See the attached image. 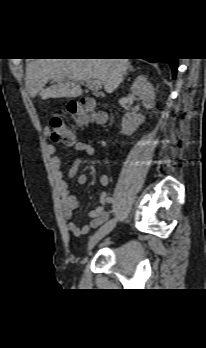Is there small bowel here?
I'll use <instances>...</instances> for the list:
<instances>
[{"label": "small bowel", "instance_id": "1", "mask_svg": "<svg viewBox=\"0 0 206 348\" xmlns=\"http://www.w3.org/2000/svg\"><path fill=\"white\" fill-rule=\"evenodd\" d=\"M72 149L76 152H85L89 155L94 153V148L82 141H77L72 144ZM46 153L49 157V164L52 170L54 182L59 193L63 215L65 219L68 220L67 230L71 232L74 236L80 237L86 235L91 229L98 227L109 217V213L106 211V206L111 202V198L108 197L106 192H101L99 197V205L90 211V221L87 225L83 227H78L73 221H71L75 210L79 206V201L77 197L72 194L69 190L68 183L66 181V176L61 169V160L56 153V147L54 145L48 144L46 146ZM81 163V158L77 157L73 165L68 169L67 176L77 177L79 184H85L87 182V176L84 174H79V165ZM100 182L103 186L109 184V179L107 176L102 175Z\"/></svg>", "mask_w": 206, "mask_h": 348}]
</instances>
